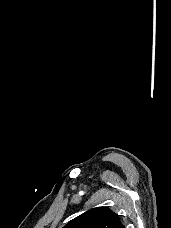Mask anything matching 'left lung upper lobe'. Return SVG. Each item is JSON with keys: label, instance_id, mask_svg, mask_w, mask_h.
<instances>
[{"label": "left lung upper lobe", "instance_id": "5c2ea615", "mask_svg": "<svg viewBox=\"0 0 171 228\" xmlns=\"http://www.w3.org/2000/svg\"><path fill=\"white\" fill-rule=\"evenodd\" d=\"M119 216L106 207L93 208L76 217L63 228H123Z\"/></svg>", "mask_w": 171, "mask_h": 228}]
</instances>
